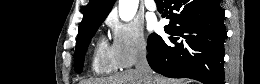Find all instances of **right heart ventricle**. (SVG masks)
Wrapping results in <instances>:
<instances>
[{
	"label": "right heart ventricle",
	"instance_id": "1",
	"mask_svg": "<svg viewBox=\"0 0 260 84\" xmlns=\"http://www.w3.org/2000/svg\"><path fill=\"white\" fill-rule=\"evenodd\" d=\"M92 71L96 74H104L115 71L117 65L111 55V50L104 41H99L94 50L91 62Z\"/></svg>",
	"mask_w": 260,
	"mask_h": 84
}]
</instances>
